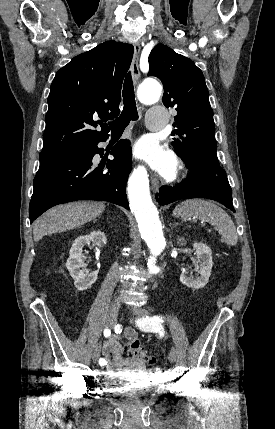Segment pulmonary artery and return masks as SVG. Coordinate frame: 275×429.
Segmentation results:
<instances>
[{
	"label": "pulmonary artery",
	"instance_id": "e3ab8cb5",
	"mask_svg": "<svg viewBox=\"0 0 275 429\" xmlns=\"http://www.w3.org/2000/svg\"><path fill=\"white\" fill-rule=\"evenodd\" d=\"M146 121L150 130L161 129L166 124L167 113L161 107H153L147 112Z\"/></svg>",
	"mask_w": 275,
	"mask_h": 429
}]
</instances>
